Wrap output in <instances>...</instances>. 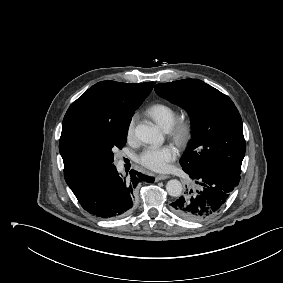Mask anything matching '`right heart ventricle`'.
<instances>
[{
    "mask_svg": "<svg viewBox=\"0 0 283 283\" xmlns=\"http://www.w3.org/2000/svg\"><path fill=\"white\" fill-rule=\"evenodd\" d=\"M146 113L165 130L170 129L177 119V111L166 103L152 104L147 108Z\"/></svg>",
    "mask_w": 283,
    "mask_h": 283,
    "instance_id": "1",
    "label": "right heart ventricle"
}]
</instances>
